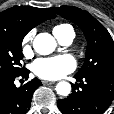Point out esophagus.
Returning a JSON list of instances; mask_svg holds the SVG:
<instances>
[{
    "label": "esophagus",
    "instance_id": "34e87169",
    "mask_svg": "<svg viewBox=\"0 0 114 114\" xmlns=\"http://www.w3.org/2000/svg\"><path fill=\"white\" fill-rule=\"evenodd\" d=\"M42 83H43L44 85H52V84H54L55 82H54V81L43 80Z\"/></svg>",
    "mask_w": 114,
    "mask_h": 114
}]
</instances>
